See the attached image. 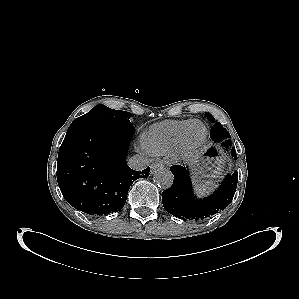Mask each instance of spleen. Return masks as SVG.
<instances>
[{"mask_svg":"<svg viewBox=\"0 0 299 299\" xmlns=\"http://www.w3.org/2000/svg\"><path fill=\"white\" fill-rule=\"evenodd\" d=\"M214 187L213 181H203L197 186V193L200 195H204L205 193L210 192Z\"/></svg>","mask_w":299,"mask_h":299,"instance_id":"spleen-1","label":"spleen"}]
</instances>
